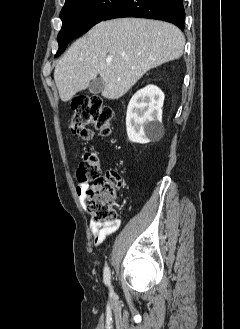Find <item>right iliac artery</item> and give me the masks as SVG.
<instances>
[{
	"mask_svg": "<svg viewBox=\"0 0 240 329\" xmlns=\"http://www.w3.org/2000/svg\"><path fill=\"white\" fill-rule=\"evenodd\" d=\"M104 283L107 286H110V284H111V274H110V269L108 266H105V268H104Z\"/></svg>",
	"mask_w": 240,
	"mask_h": 329,
	"instance_id": "82829eb1",
	"label": "right iliac artery"
}]
</instances>
